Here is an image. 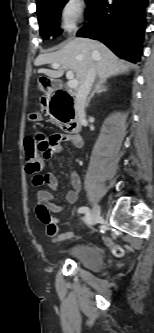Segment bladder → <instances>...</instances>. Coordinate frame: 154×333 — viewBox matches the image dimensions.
Masks as SVG:
<instances>
[{
    "label": "bladder",
    "mask_w": 154,
    "mask_h": 333,
    "mask_svg": "<svg viewBox=\"0 0 154 333\" xmlns=\"http://www.w3.org/2000/svg\"><path fill=\"white\" fill-rule=\"evenodd\" d=\"M72 258L82 267L98 271L104 262L103 253L95 245H82L71 251Z\"/></svg>",
    "instance_id": "31cf9c89"
}]
</instances>
